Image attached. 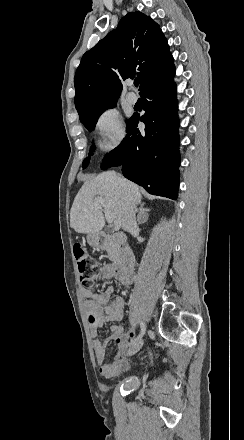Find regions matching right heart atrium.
<instances>
[{
    "mask_svg": "<svg viewBox=\"0 0 244 440\" xmlns=\"http://www.w3.org/2000/svg\"><path fill=\"white\" fill-rule=\"evenodd\" d=\"M94 125L104 149L111 150L122 141L124 131L120 114L116 109L109 108L100 112Z\"/></svg>",
    "mask_w": 244,
    "mask_h": 440,
    "instance_id": "right-heart-atrium-1",
    "label": "right heart atrium"
}]
</instances>
